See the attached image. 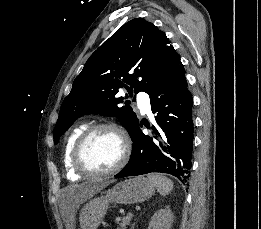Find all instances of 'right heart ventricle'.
I'll return each mask as SVG.
<instances>
[{
    "mask_svg": "<svg viewBox=\"0 0 261 229\" xmlns=\"http://www.w3.org/2000/svg\"><path fill=\"white\" fill-rule=\"evenodd\" d=\"M87 128L86 125L82 124L75 127L67 136L64 145H63V166L67 173L75 174L80 176L81 174L73 167L72 165V149L79 138V136L84 132Z\"/></svg>",
    "mask_w": 261,
    "mask_h": 229,
    "instance_id": "1",
    "label": "right heart ventricle"
}]
</instances>
